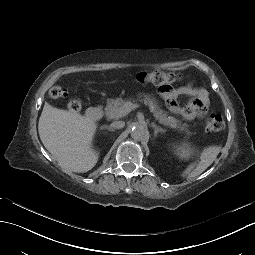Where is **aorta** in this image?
I'll return each mask as SVG.
<instances>
[{
    "instance_id": "obj_1",
    "label": "aorta",
    "mask_w": 255,
    "mask_h": 255,
    "mask_svg": "<svg viewBox=\"0 0 255 255\" xmlns=\"http://www.w3.org/2000/svg\"><path fill=\"white\" fill-rule=\"evenodd\" d=\"M131 137L136 141H141L147 135L146 128L141 124H135L131 130Z\"/></svg>"
}]
</instances>
